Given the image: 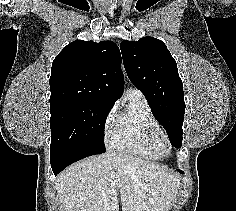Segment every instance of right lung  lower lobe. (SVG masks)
<instances>
[{"instance_id":"1","label":"right lung lower lobe","mask_w":236,"mask_h":211,"mask_svg":"<svg viewBox=\"0 0 236 211\" xmlns=\"http://www.w3.org/2000/svg\"><path fill=\"white\" fill-rule=\"evenodd\" d=\"M103 152L92 147H61L50 149L51 167L57 175L68 165L87 156L102 154Z\"/></svg>"}]
</instances>
